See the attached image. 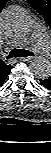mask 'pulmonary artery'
I'll list each match as a JSON object with an SVG mask.
<instances>
[{
	"mask_svg": "<svg viewBox=\"0 0 51 153\" xmlns=\"http://www.w3.org/2000/svg\"><path fill=\"white\" fill-rule=\"evenodd\" d=\"M31 36L35 41L37 51L47 55L50 51L51 43L45 30L40 25H36L32 30Z\"/></svg>",
	"mask_w": 51,
	"mask_h": 153,
	"instance_id": "pulmonary-artery-1",
	"label": "pulmonary artery"
}]
</instances>
